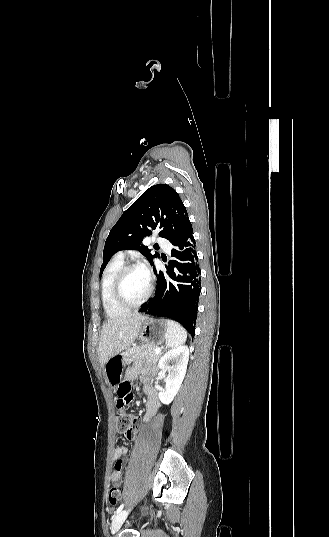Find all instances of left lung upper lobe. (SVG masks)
Returning a JSON list of instances; mask_svg holds the SVG:
<instances>
[{"mask_svg":"<svg viewBox=\"0 0 329 537\" xmlns=\"http://www.w3.org/2000/svg\"><path fill=\"white\" fill-rule=\"evenodd\" d=\"M189 222L188 214L178 193L168 185L157 184L147 189L127 209L110 230L103 251L100 277L111 257L119 250H139L152 264L154 257L142 244L153 230L172 242Z\"/></svg>","mask_w":329,"mask_h":537,"instance_id":"5c2ea615","label":"left lung upper lobe"}]
</instances>
